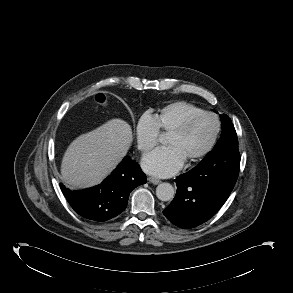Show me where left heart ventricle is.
Instances as JSON below:
<instances>
[{
    "label": "left heart ventricle",
    "mask_w": 293,
    "mask_h": 293,
    "mask_svg": "<svg viewBox=\"0 0 293 293\" xmlns=\"http://www.w3.org/2000/svg\"><path fill=\"white\" fill-rule=\"evenodd\" d=\"M215 130V122L211 117L198 119L184 135L170 134L167 145L176 147L185 160L201 152L210 142Z\"/></svg>",
    "instance_id": "1"
}]
</instances>
